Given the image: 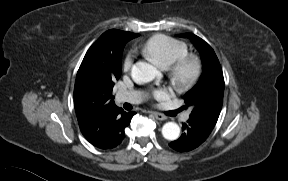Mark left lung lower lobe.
I'll use <instances>...</instances> for the list:
<instances>
[{"mask_svg":"<svg viewBox=\"0 0 288 181\" xmlns=\"http://www.w3.org/2000/svg\"><path fill=\"white\" fill-rule=\"evenodd\" d=\"M182 125L181 137L169 144L171 148L179 152L191 151L200 146L215 126L196 117H190Z\"/></svg>","mask_w":288,"mask_h":181,"instance_id":"0a47b994","label":"left lung lower lobe"}]
</instances>
